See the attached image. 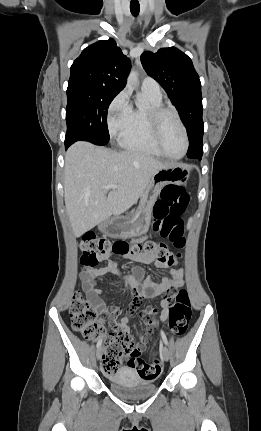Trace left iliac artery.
Masks as SVG:
<instances>
[{
	"mask_svg": "<svg viewBox=\"0 0 261 431\" xmlns=\"http://www.w3.org/2000/svg\"><path fill=\"white\" fill-rule=\"evenodd\" d=\"M161 336H162L163 342H164L166 345H168L167 337H166V335H165V333H164L163 331H161Z\"/></svg>",
	"mask_w": 261,
	"mask_h": 431,
	"instance_id": "obj_1",
	"label": "left iliac artery"
}]
</instances>
